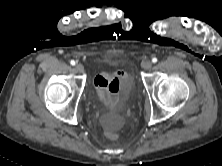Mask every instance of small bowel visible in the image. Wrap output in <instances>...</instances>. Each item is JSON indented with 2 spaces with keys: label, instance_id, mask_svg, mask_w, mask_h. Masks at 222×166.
I'll return each instance as SVG.
<instances>
[{
  "label": "small bowel",
  "instance_id": "1",
  "mask_svg": "<svg viewBox=\"0 0 222 166\" xmlns=\"http://www.w3.org/2000/svg\"><path fill=\"white\" fill-rule=\"evenodd\" d=\"M130 80L126 72H101L94 79L99 99L107 106H113L126 98Z\"/></svg>",
  "mask_w": 222,
  "mask_h": 166
}]
</instances>
